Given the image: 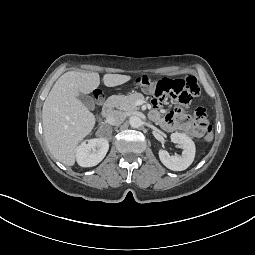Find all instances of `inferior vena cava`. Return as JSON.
Wrapping results in <instances>:
<instances>
[{"mask_svg":"<svg viewBox=\"0 0 255 255\" xmlns=\"http://www.w3.org/2000/svg\"><path fill=\"white\" fill-rule=\"evenodd\" d=\"M124 120H125V114L121 111H113L106 118L107 123L110 125H119Z\"/></svg>","mask_w":255,"mask_h":255,"instance_id":"inferior-vena-cava-1","label":"inferior vena cava"}]
</instances>
